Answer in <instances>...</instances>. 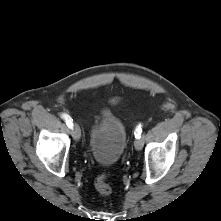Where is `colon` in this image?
I'll return each instance as SVG.
<instances>
[{"label":"colon","mask_w":221,"mask_h":221,"mask_svg":"<svg viewBox=\"0 0 221 221\" xmlns=\"http://www.w3.org/2000/svg\"><path fill=\"white\" fill-rule=\"evenodd\" d=\"M96 191L103 196L109 195L112 192V187L108 181L106 174H100L94 181Z\"/></svg>","instance_id":"1"}]
</instances>
